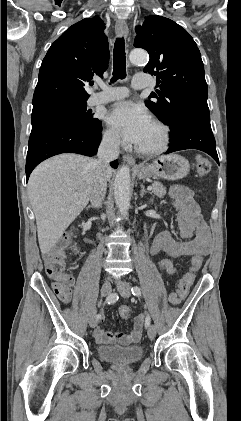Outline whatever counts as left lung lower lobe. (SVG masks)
<instances>
[{"mask_svg": "<svg viewBox=\"0 0 241 421\" xmlns=\"http://www.w3.org/2000/svg\"><path fill=\"white\" fill-rule=\"evenodd\" d=\"M169 137L171 144L166 154L185 149H198L209 154L219 164L209 111L194 112L182 123L179 132Z\"/></svg>", "mask_w": 241, "mask_h": 421, "instance_id": "1", "label": "left lung lower lobe"}]
</instances>
